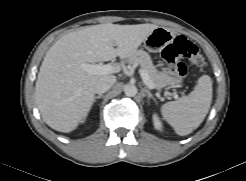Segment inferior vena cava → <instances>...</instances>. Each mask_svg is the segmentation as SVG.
Segmentation results:
<instances>
[{
    "label": "inferior vena cava",
    "mask_w": 246,
    "mask_h": 181,
    "mask_svg": "<svg viewBox=\"0 0 246 181\" xmlns=\"http://www.w3.org/2000/svg\"><path fill=\"white\" fill-rule=\"evenodd\" d=\"M116 82V77L113 75L102 77L95 85V93L101 95L108 91Z\"/></svg>",
    "instance_id": "inferior-vena-cava-1"
}]
</instances>
